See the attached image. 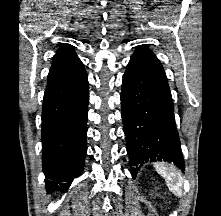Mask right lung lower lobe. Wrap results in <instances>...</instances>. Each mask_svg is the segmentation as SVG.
Segmentation results:
<instances>
[{"label": "right lung lower lobe", "mask_w": 221, "mask_h": 216, "mask_svg": "<svg viewBox=\"0 0 221 216\" xmlns=\"http://www.w3.org/2000/svg\"><path fill=\"white\" fill-rule=\"evenodd\" d=\"M88 84L84 69L45 90L41 141L49 192L67 191L72 180L83 171L87 151Z\"/></svg>", "instance_id": "98d812e1"}]
</instances>
